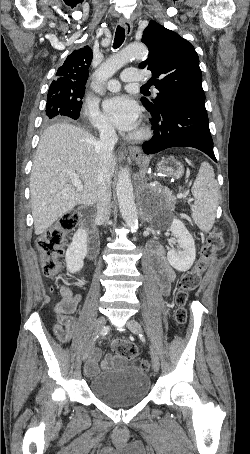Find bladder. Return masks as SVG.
<instances>
[{
    "instance_id": "bladder-1",
    "label": "bladder",
    "mask_w": 250,
    "mask_h": 454,
    "mask_svg": "<svg viewBox=\"0 0 250 454\" xmlns=\"http://www.w3.org/2000/svg\"><path fill=\"white\" fill-rule=\"evenodd\" d=\"M122 364L90 380L91 393L103 404L112 407L130 406L143 401L151 389V380L140 366L125 363L123 356H116Z\"/></svg>"
}]
</instances>
